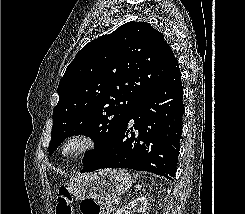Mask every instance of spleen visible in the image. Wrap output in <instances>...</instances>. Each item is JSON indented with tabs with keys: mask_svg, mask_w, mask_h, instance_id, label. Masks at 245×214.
Here are the masks:
<instances>
[{
	"mask_svg": "<svg viewBox=\"0 0 245 214\" xmlns=\"http://www.w3.org/2000/svg\"><path fill=\"white\" fill-rule=\"evenodd\" d=\"M134 177L137 178V175L134 174ZM140 187H141L140 185H136L135 188H136V190H137V189H140Z\"/></svg>",
	"mask_w": 245,
	"mask_h": 214,
	"instance_id": "1",
	"label": "spleen"
}]
</instances>
